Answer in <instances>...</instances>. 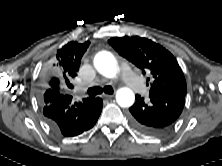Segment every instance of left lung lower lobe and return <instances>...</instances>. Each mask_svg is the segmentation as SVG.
<instances>
[{
  "label": "left lung lower lobe",
  "instance_id": "left-lung-lower-lobe-1",
  "mask_svg": "<svg viewBox=\"0 0 222 166\" xmlns=\"http://www.w3.org/2000/svg\"><path fill=\"white\" fill-rule=\"evenodd\" d=\"M150 100L136 95L135 104L129 108L131 125L148 135H162L180 116L185 95L177 92L149 94Z\"/></svg>",
  "mask_w": 222,
  "mask_h": 166
}]
</instances>
